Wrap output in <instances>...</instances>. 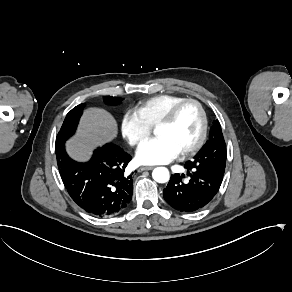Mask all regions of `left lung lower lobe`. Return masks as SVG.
Instances as JSON below:
<instances>
[{"instance_id": "1", "label": "left lung lower lobe", "mask_w": 292, "mask_h": 292, "mask_svg": "<svg viewBox=\"0 0 292 292\" xmlns=\"http://www.w3.org/2000/svg\"><path fill=\"white\" fill-rule=\"evenodd\" d=\"M189 181L185 175L171 176L163 190L165 201L175 210L191 213L205 207L217 194L223 180L224 171L203 170L198 165L186 162Z\"/></svg>"}]
</instances>
